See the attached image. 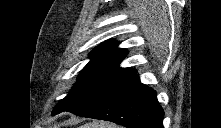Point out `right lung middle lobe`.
Instances as JSON below:
<instances>
[{
  "label": "right lung middle lobe",
  "mask_w": 221,
  "mask_h": 128,
  "mask_svg": "<svg viewBox=\"0 0 221 128\" xmlns=\"http://www.w3.org/2000/svg\"><path fill=\"white\" fill-rule=\"evenodd\" d=\"M126 79L127 77L125 76L83 70L70 93L58 103L52 115L63 111H70L80 105L97 100Z\"/></svg>",
  "instance_id": "right-lung-middle-lobe-1"
}]
</instances>
